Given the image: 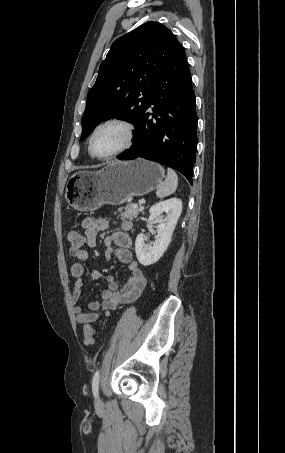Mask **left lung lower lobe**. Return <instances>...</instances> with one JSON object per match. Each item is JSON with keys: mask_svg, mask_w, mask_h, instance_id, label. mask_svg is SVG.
I'll return each instance as SVG.
<instances>
[{"mask_svg": "<svg viewBox=\"0 0 285 453\" xmlns=\"http://www.w3.org/2000/svg\"><path fill=\"white\" fill-rule=\"evenodd\" d=\"M135 129L131 148L118 155V159L142 157L167 165L192 184L197 114L191 74L181 44L158 78Z\"/></svg>", "mask_w": 285, "mask_h": 453, "instance_id": "obj_1", "label": "left lung lower lobe"}]
</instances>
